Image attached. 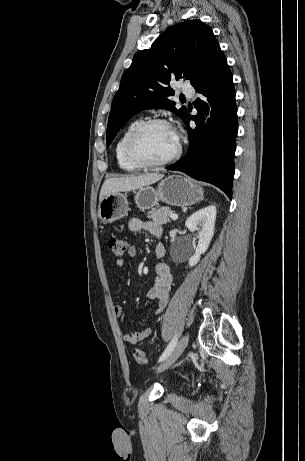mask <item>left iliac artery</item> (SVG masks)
<instances>
[{
    "label": "left iliac artery",
    "mask_w": 305,
    "mask_h": 461,
    "mask_svg": "<svg viewBox=\"0 0 305 461\" xmlns=\"http://www.w3.org/2000/svg\"><path fill=\"white\" fill-rule=\"evenodd\" d=\"M177 340H178V337L174 336V338L171 340V342L169 343V345L167 346L165 351L160 356L159 362L164 361L171 354L172 350L174 349V347H175V345L177 343Z\"/></svg>",
    "instance_id": "left-iliac-artery-1"
}]
</instances>
